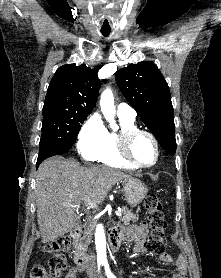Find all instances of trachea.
I'll use <instances>...</instances> for the list:
<instances>
[{
  "label": "trachea",
  "mask_w": 221,
  "mask_h": 278,
  "mask_svg": "<svg viewBox=\"0 0 221 278\" xmlns=\"http://www.w3.org/2000/svg\"><path fill=\"white\" fill-rule=\"evenodd\" d=\"M110 32H111L110 30H101V33L104 37H108Z\"/></svg>",
  "instance_id": "trachea-1"
}]
</instances>
